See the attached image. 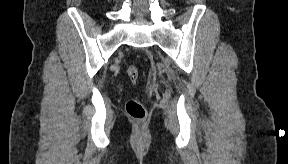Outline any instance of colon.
Returning a JSON list of instances; mask_svg holds the SVG:
<instances>
[{"mask_svg": "<svg viewBox=\"0 0 288 164\" xmlns=\"http://www.w3.org/2000/svg\"><path fill=\"white\" fill-rule=\"evenodd\" d=\"M127 74L131 81L136 83L139 79V71L135 66L127 68ZM126 112L131 120H144L146 117V109L139 99H130L126 104Z\"/></svg>", "mask_w": 288, "mask_h": 164, "instance_id": "1", "label": "colon"}]
</instances>
